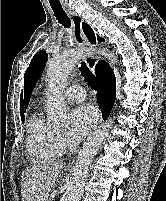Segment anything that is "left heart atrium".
I'll return each mask as SVG.
<instances>
[{
  "instance_id": "1",
  "label": "left heart atrium",
  "mask_w": 166,
  "mask_h": 201,
  "mask_svg": "<svg viewBox=\"0 0 166 201\" xmlns=\"http://www.w3.org/2000/svg\"><path fill=\"white\" fill-rule=\"evenodd\" d=\"M97 121L95 109L83 104L74 108L71 112V125L69 129L70 139L74 143L80 142L92 129Z\"/></svg>"
}]
</instances>
